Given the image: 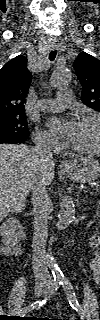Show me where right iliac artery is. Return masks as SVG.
Segmentation results:
<instances>
[{"mask_svg":"<svg viewBox=\"0 0 100 320\" xmlns=\"http://www.w3.org/2000/svg\"><path fill=\"white\" fill-rule=\"evenodd\" d=\"M54 285H55V287H54L53 293H54V291H56L58 289L59 285H61V281H55ZM48 298H50V294L47 293L45 295L44 299L36 301V302L32 303L31 305L24 307L20 311V316H24L26 313H28L31 310L39 309L42 305H44L46 303Z\"/></svg>","mask_w":100,"mask_h":320,"instance_id":"obj_1","label":"right iliac artery"}]
</instances>
